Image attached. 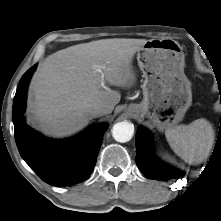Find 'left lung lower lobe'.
Returning <instances> with one entry per match:
<instances>
[{
    "label": "left lung lower lobe",
    "instance_id": "obj_1",
    "mask_svg": "<svg viewBox=\"0 0 221 221\" xmlns=\"http://www.w3.org/2000/svg\"><path fill=\"white\" fill-rule=\"evenodd\" d=\"M221 144V135L217 142ZM136 163L141 172L150 179L168 181L183 177L184 173L162 162L153 152L151 133L140 127L136 134Z\"/></svg>",
    "mask_w": 221,
    "mask_h": 221
}]
</instances>
